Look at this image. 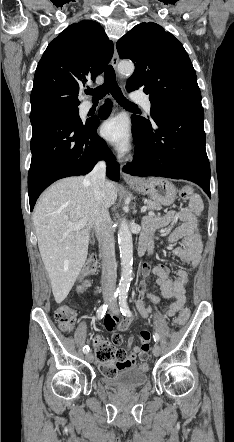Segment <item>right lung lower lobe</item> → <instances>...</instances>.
<instances>
[{"label": "right lung lower lobe", "instance_id": "right-lung-lower-lobe-1", "mask_svg": "<svg viewBox=\"0 0 234 442\" xmlns=\"http://www.w3.org/2000/svg\"><path fill=\"white\" fill-rule=\"evenodd\" d=\"M111 107V101L107 100L99 111L101 119L109 115ZM30 120L33 129L28 175L31 211L50 184L61 178L85 175L101 159L107 163V176L119 181L120 167L96 131L98 117L82 123L67 113L43 111L30 115Z\"/></svg>", "mask_w": 234, "mask_h": 442}]
</instances>
